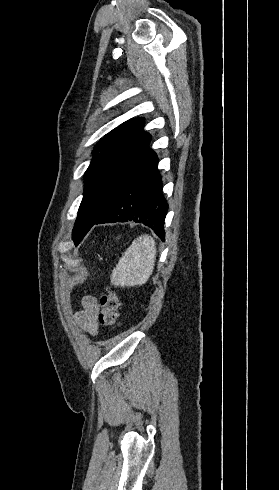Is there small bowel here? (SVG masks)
Returning <instances> with one entry per match:
<instances>
[{"label": "small bowel", "instance_id": "small-bowel-1", "mask_svg": "<svg viewBox=\"0 0 279 490\" xmlns=\"http://www.w3.org/2000/svg\"><path fill=\"white\" fill-rule=\"evenodd\" d=\"M81 310L75 314L77 325L87 334L96 335L98 333V314L99 304L95 297L85 296L81 300Z\"/></svg>", "mask_w": 279, "mask_h": 490}]
</instances>
